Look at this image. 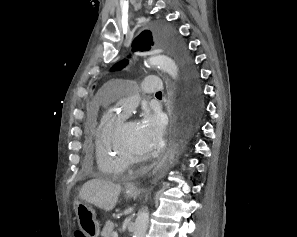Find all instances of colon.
Wrapping results in <instances>:
<instances>
[{"label": "colon", "instance_id": "obj_1", "mask_svg": "<svg viewBox=\"0 0 297 237\" xmlns=\"http://www.w3.org/2000/svg\"><path fill=\"white\" fill-rule=\"evenodd\" d=\"M75 237H85V235L81 232H76Z\"/></svg>", "mask_w": 297, "mask_h": 237}]
</instances>
